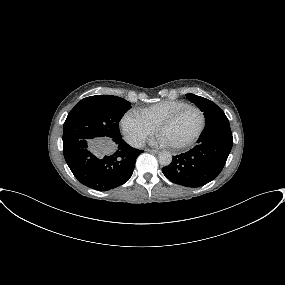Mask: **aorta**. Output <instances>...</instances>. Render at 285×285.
I'll return each mask as SVG.
<instances>
[{"instance_id":"1","label":"aorta","mask_w":285,"mask_h":285,"mask_svg":"<svg viewBox=\"0 0 285 285\" xmlns=\"http://www.w3.org/2000/svg\"><path fill=\"white\" fill-rule=\"evenodd\" d=\"M158 161L163 166H168L172 162V155L168 151H162L158 155Z\"/></svg>"}]
</instances>
